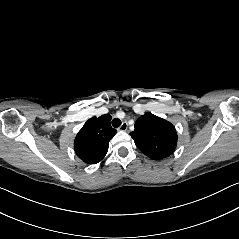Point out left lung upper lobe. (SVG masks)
<instances>
[{
    "label": "left lung upper lobe",
    "mask_w": 239,
    "mask_h": 239,
    "mask_svg": "<svg viewBox=\"0 0 239 239\" xmlns=\"http://www.w3.org/2000/svg\"><path fill=\"white\" fill-rule=\"evenodd\" d=\"M130 133L138 149L151 159H163L172 154L177 145V132L165 119L146 113L140 116Z\"/></svg>",
    "instance_id": "5c2ea615"
}]
</instances>
